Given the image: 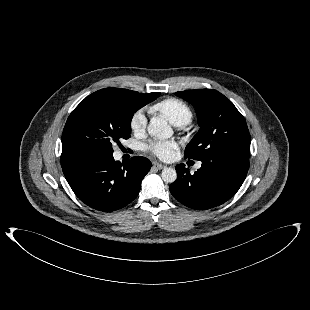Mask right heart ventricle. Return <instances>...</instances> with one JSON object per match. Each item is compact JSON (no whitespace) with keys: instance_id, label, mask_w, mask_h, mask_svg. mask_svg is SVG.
<instances>
[{"instance_id":"right-heart-ventricle-1","label":"right heart ventricle","mask_w":310,"mask_h":310,"mask_svg":"<svg viewBox=\"0 0 310 310\" xmlns=\"http://www.w3.org/2000/svg\"><path fill=\"white\" fill-rule=\"evenodd\" d=\"M150 111L157 113L177 126L188 124L193 118L191 107L181 99L169 97L154 103Z\"/></svg>"}]
</instances>
